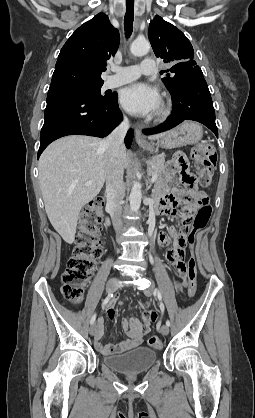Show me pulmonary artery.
Wrapping results in <instances>:
<instances>
[{
    "label": "pulmonary artery",
    "mask_w": 255,
    "mask_h": 418,
    "mask_svg": "<svg viewBox=\"0 0 255 418\" xmlns=\"http://www.w3.org/2000/svg\"><path fill=\"white\" fill-rule=\"evenodd\" d=\"M113 71L115 73L105 81V88L127 84L138 79L141 74H152L155 71V61L152 58H144L140 65L114 67Z\"/></svg>",
    "instance_id": "e3ab8cb5"
}]
</instances>
